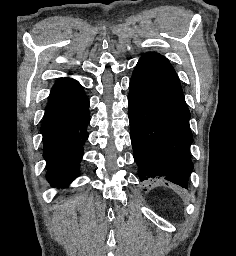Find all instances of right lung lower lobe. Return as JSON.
Here are the masks:
<instances>
[{"instance_id":"98d812e1","label":"right lung lower lobe","mask_w":236,"mask_h":256,"mask_svg":"<svg viewBox=\"0 0 236 256\" xmlns=\"http://www.w3.org/2000/svg\"><path fill=\"white\" fill-rule=\"evenodd\" d=\"M89 100L77 83L49 100L41 126L47 180L52 187L64 186L79 174L83 145L90 120Z\"/></svg>"}]
</instances>
